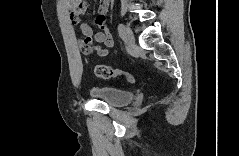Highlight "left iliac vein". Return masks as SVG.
<instances>
[{
  "label": "left iliac vein",
  "instance_id": "obj_1",
  "mask_svg": "<svg viewBox=\"0 0 239 156\" xmlns=\"http://www.w3.org/2000/svg\"><path fill=\"white\" fill-rule=\"evenodd\" d=\"M124 39H125L126 44L129 47L133 46L135 43V38H134L133 32L128 26L125 27Z\"/></svg>",
  "mask_w": 239,
  "mask_h": 156
}]
</instances>
